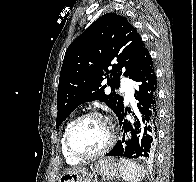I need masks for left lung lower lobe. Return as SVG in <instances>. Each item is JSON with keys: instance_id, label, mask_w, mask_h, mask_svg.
I'll return each instance as SVG.
<instances>
[{"instance_id": "left-lung-lower-lobe-1", "label": "left lung lower lobe", "mask_w": 196, "mask_h": 182, "mask_svg": "<svg viewBox=\"0 0 196 182\" xmlns=\"http://www.w3.org/2000/svg\"><path fill=\"white\" fill-rule=\"evenodd\" d=\"M133 80L137 82V110L136 114L133 113L134 122L126 120L127 109L124 110L123 106L117 115L123 138L106 155L152 159L156 151L158 124V87L152 58Z\"/></svg>"}]
</instances>
